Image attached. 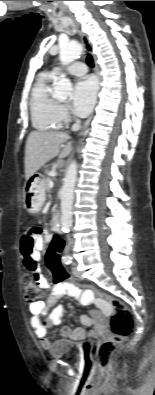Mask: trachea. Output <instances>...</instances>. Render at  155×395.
I'll use <instances>...</instances> for the list:
<instances>
[{
  "label": "trachea",
  "mask_w": 155,
  "mask_h": 395,
  "mask_svg": "<svg viewBox=\"0 0 155 395\" xmlns=\"http://www.w3.org/2000/svg\"><path fill=\"white\" fill-rule=\"evenodd\" d=\"M86 62H87V64H88V66H90V67H93V66H94V60H93V58H92L91 55H88V56H87Z\"/></svg>",
  "instance_id": "obj_1"
}]
</instances>
